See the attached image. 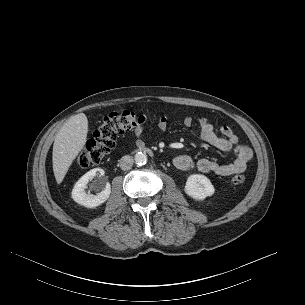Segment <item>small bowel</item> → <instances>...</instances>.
<instances>
[{"label": "small bowel", "instance_id": "1", "mask_svg": "<svg viewBox=\"0 0 305 305\" xmlns=\"http://www.w3.org/2000/svg\"><path fill=\"white\" fill-rule=\"evenodd\" d=\"M143 120L134 128V135L139 145L143 144V136L146 128L147 117L140 114ZM185 127H191L196 124L199 128V134L202 141L227 152L234 150L235 159L229 163H219L208 159L194 160L187 155H179L173 159V164L180 170L197 169L203 173H212L219 176H229L242 173L247 167V163L252 158V150L243 144H240L239 138L228 126H223L217 132L213 123L205 117L193 118L186 116L182 120ZM157 127L164 132L168 128V120L165 116H160L157 121Z\"/></svg>", "mask_w": 305, "mask_h": 305}]
</instances>
